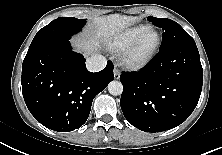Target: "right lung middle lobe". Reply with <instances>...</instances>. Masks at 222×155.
Here are the masks:
<instances>
[{"label":"right lung middle lobe","instance_id":"1","mask_svg":"<svg viewBox=\"0 0 222 155\" xmlns=\"http://www.w3.org/2000/svg\"><path fill=\"white\" fill-rule=\"evenodd\" d=\"M85 23V19L79 20L74 17H59L53 20L37 32L29 47L27 55L39 50L49 43L70 39L73 34L81 31Z\"/></svg>","mask_w":222,"mask_h":155}]
</instances>
